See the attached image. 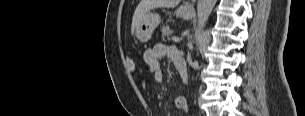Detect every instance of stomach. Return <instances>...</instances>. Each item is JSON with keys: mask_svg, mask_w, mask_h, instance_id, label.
I'll return each mask as SVG.
<instances>
[{"mask_svg": "<svg viewBox=\"0 0 305 116\" xmlns=\"http://www.w3.org/2000/svg\"><path fill=\"white\" fill-rule=\"evenodd\" d=\"M194 14L193 9L183 5L176 10V15L183 19H190ZM161 17L157 13L148 12L144 15L136 28V37L141 42L151 39L153 31L160 24Z\"/></svg>", "mask_w": 305, "mask_h": 116, "instance_id": "obj_1", "label": "stomach"}]
</instances>
